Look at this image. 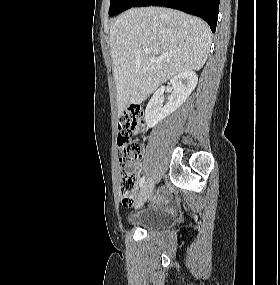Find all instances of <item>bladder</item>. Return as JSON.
<instances>
[{
    "mask_svg": "<svg viewBox=\"0 0 280 285\" xmlns=\"http://www.w3.org/2000/svg\"><path fill=\"white\" fill-rule=\"evenodd\" d=\"M171 216L151 208H144L128 217L127 224L146 230H158L167 225Z\"/></svg>",
    "mask_w": 280,
    "mask_h": 285,
    "instance_id": "1",
    "label": "bladder"
}]
</instances>
